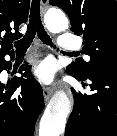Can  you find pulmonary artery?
<instances>
[{"mask_svg":"<svg viewBox=\"0 0 117 136\" xmlns=\"http://www.w3.org/2000/svg\"><path fill=\"white\" fill-rule=\"evenodd\" d=\"M80 46L79 40L70 33H63L58 40V47L63 50H75Z\"/></svg>","mask_w":117,"mask_h":136,"instance_id":"pulmonary-artery-1","label":"pulmonary artery"}]
</instances>
